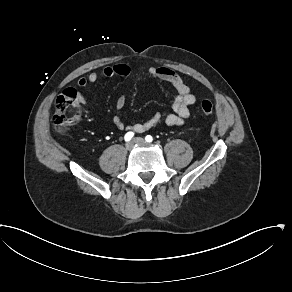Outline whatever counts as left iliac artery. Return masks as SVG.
I'll use <instances>...</instances> for the list:
<instances>
[{"label": "left iliac artery", "instance_id": "left-iliac-artery-1", "mask_svg": "<svg viewBox=\"0 0 292 292\" xmlns=\"http://www.w3.org/2000/svg\"><path fill=\"white\" fill-rule=\"evenodd\" d=\"M145 140L147 141V142H152L153 141V138H152V136L151 135H147L146 137H145Z\"/></svg>", "mask_w": 292, "mask_h": 292}]
</instances>
